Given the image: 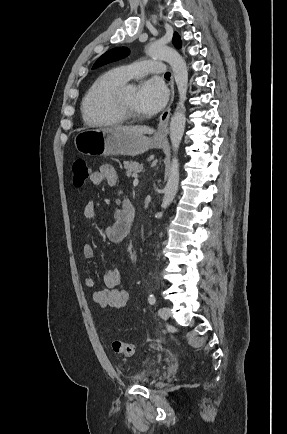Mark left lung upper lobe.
<instances>
[{
    "instance_id": "left-lung-upper-lobe-1",
    "label": "left lung upper lobe",
    "mask_w": 287,
    "mask_h": 434,
    "mask_svg": "<svg viewBox=\"0 0 287 434\" xmlns=\"http://www.w3.org/2000/svg\"><path fill=\"white\" fill-rule=\"evenodd\" d=\"M173 44L179 48L181 47V40L180 37L177 33L174 34L173 37ZM129 54V49L126 47H118V48H114L111 49L109 51H107L106 53H104L93 65V69L97 68L99 66H102L104 64L113 62V61H117L121 58H124L125 56H127Z\"/></svg>"
}]
</instances>
